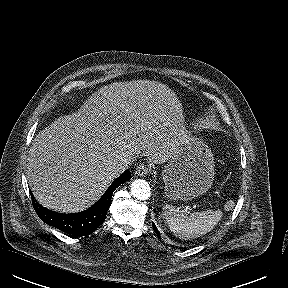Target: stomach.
Returning a JSON list of instances; mask_svg holds the SVG:
<instances>
[{"label": "stomach", "instance_id": "1", "mask_svg": "<svg viewBox=\"0 0 288 288\" xmlns=\"http://www.w3.org/2000/svg\"><path fill=\"white\" fill-rule=\"evenodd\" d=\"M214 174V157L209 146L201 139L189 138L162 170L164 194L171 200H191L211 187Z\"/></svg>", "mask_w": 288, "mask_h": 288}]
</instances>
